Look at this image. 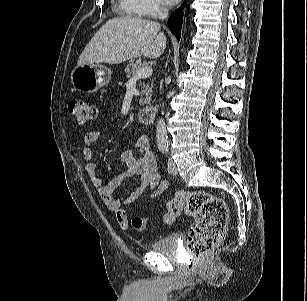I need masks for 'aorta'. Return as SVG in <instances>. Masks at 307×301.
<instances>
[{"mask_svg":"<svg viewBox=\"0 0 307 301\" xmlns=\"http://www.w3.org/2000/svg\"><path fill=\"white\" fill-rule=\"evenodd\" d=\"M156 141L158 148L168 147V136L164 118H159L156 126Z\"/></svg>","mask_w":307,"mask_h":301,"instance_id":"762f6f07","label":"aorta"}]
</instances>
